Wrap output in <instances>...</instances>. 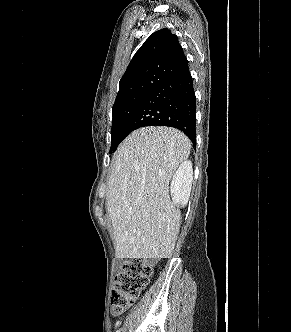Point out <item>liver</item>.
I'll return each instance as SVG.
<instances>
[{"label": "liver", "mask_w": 291, "mask_h": 332, "mask_svg": "<svg viewBox=\"0 0 291 332\" xmlns=\"http://www.w3.org/2000/svg\"><path fill=\"white\" fill-rule=\"evenodd\" d=\"M190 150L189 138L169 127L140 128L120 144L107 191L117 258H171L181 212L169 183Z\"/></svg>", "instance_id": "1"}]
</instances>
